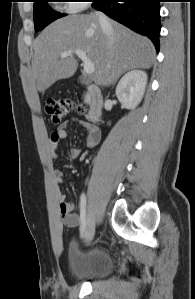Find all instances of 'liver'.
Returning a JSON list of instances; mask_svg holds the SVG:
<instances>
[{"instance_id":"liver-1","label":"liver","mask_w":195,"mask_h":299,"mask_svg":"<svg viewBox=\"0 0 195 299\" xmlns=\"http://www.w3.org/2000/svg\"><path fill=\"white\" fill-rule=\"evenodd\" d=\"M113 44L93 14L69 15L47 26L33 43V77L44 92L57 80L74 75L78 61L74 51L82 50L94 63L93 79L107 85L128 70L148 69L155 58L153 43L127 27L111 21ZM72 51L68 57L61 53Z\"/></svg>"}]
</instances>
